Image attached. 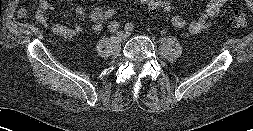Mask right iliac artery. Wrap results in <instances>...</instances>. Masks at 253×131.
<instances>
[{"mask_svg":"<svg viewBox=\"0 0 253 131\" xmlns=\"http://www.w3.org/2000/svg\"><path fill=\"white\" fill-rule=\"evenodd\" d=\"M119 26L118 22H111L108 28L111 32H116L119 29Z\"/></svg>","mask_w":253,"mask_h":131,"instance_id":"82829eb1","label":"right iliac artery"}]
</instances>
